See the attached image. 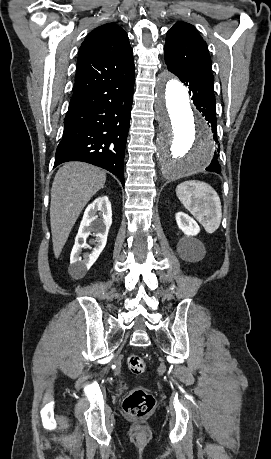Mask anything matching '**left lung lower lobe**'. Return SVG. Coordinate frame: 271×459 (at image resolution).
<instances>
[{
    "label": "left lung lower lobe",
    "instance_id": "1",
    "mask_svg": "<svg viewBox=\"0 0 271 459\" xmlns=\"http://www.w3.org/2000/svg\"><path fill=\"white\" fill-rule=\"evenodd\" d=\"M169 71L174 73L186 86L189 87V94L192 95V100L197 109L202 112V116L205 117L213 132L214 140L217 144L216 151L214 152L213 159L210 165L206 168V171L210 172H221L219 163V152L220 146L217 142V130H216V104L214 95V77L212 73L206 74H189L176 72L168 68Z\"/></svg>",
    "mask_w": 271,
    "mask_h": 459
}]
</instances>
